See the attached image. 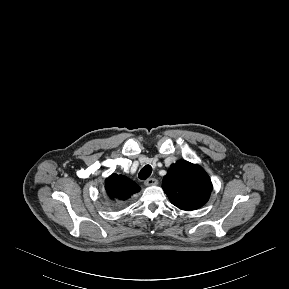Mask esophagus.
<instances>
[{
  "instance_id": "1",
  "label": "esophagus",
  "mask_w": 289,
  "mask_h": 289,
  "mask_svg": "<svg viewBox=\"0 0 289 289\" xmlns=\"http://www.w3.org/2000/svg\"><path fill=\"white\" fill-rule=\"evenodd\" d=\"M158 183L157 179L155 178H148L147 180H145L144 184L146 186H152V185H156Z\"/></svg>"
}]
</instances>
